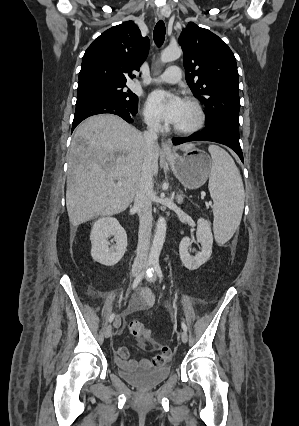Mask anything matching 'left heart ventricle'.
Here are the masks:
<instances>
[{
  "mask_svg": "<svg viewBox=\"0 0 299 426\" xmlns=\"http://www.w3.org/2000/svg\"><path fill=\"white\" fill-rule=\"evenodd\" d=\"M195 119H196L195 109L191 105L184 102L181 116L178 122L175 124V126L180 128L189 127L194 123Z\"/></svg>",
  "mask_w": 299,
  "mask_h": 426,
  "instance_id": "left-heart-ventricle-1",
  "label": "left heart ventricle"
}]
</instances>
